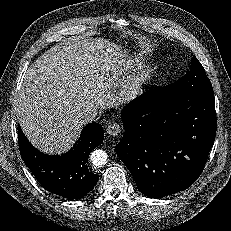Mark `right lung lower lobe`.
Wrapping results in <instances>:
<instances>
[{"mask_svg": "<svg viewBox=\"0 0 231 231\" xmlns=\"http://www.w3.org/2000/svg\"><path fill=\"white\" fill-rule=\"evenodd\" d=\"M104 139L99 123H90L82 130L73 148L62 155H47L34 148L18 126L21 157L38 182L48 191L68 199H80L89 193L99 175L87 167L90 152Z\"/></svg>", "mask_w": 231, "mask_h": 231, "instance_id": "98d812e1", "label": "right lung lower lobe"}]
</instances>
